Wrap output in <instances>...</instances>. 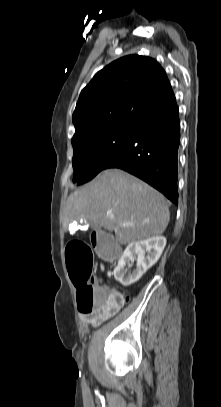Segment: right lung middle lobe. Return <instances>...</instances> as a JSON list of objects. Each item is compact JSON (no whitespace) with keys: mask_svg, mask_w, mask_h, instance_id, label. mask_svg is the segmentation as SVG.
<instances>
[{"mask_svg":"<svg viewBox=\"0 0 221 407\" xmlns=\"http://www.w3.org/2000/svg\"><path fill=\"white\" fill-rule=\"evenodd\" d=\"M136 124H117L91 132L73 142V182H88L125 145Z\"/></svg>","mask_w":221,"mask_h":407,"instance_id":"dd1d6c3e","label":"right lung middle lobe"}]
</instances>
